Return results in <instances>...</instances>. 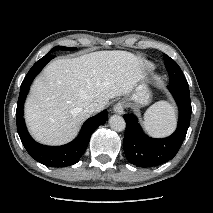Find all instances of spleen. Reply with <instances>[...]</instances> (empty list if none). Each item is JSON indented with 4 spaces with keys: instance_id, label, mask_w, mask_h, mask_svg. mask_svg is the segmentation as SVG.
Listing matches in <instances>:
<instances>
[{
    "instance_id": "3e777b00",
    "label": "spleen",
    "mask_w": 213,
    "mask_h": 213,
    "mask_svg": "<svg viewBox=\"0 0 213 213\" xmlns=\"http://www.w3.org/2000/svg\"><path fill=\"white\" fill-rule=\"evenodd\" d=\"M175 124V110L167 101L153 104L144 114V128L154 137L170 134L174 130Z\"/></svg>"
}]
</instances>
